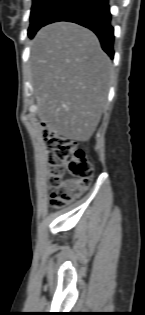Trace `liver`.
<instances>
[{
	"label": "liver",
	"instance_id": "liver-1",
	"mask_svg": "<svg viewBox=\"0 0 145 315\" xmlns=\"http://www.w3.org/2000/svg\"><path fill=\"white\" fill-rule=\"evenodd\" d=\"M112 64L97 36L80 25L58 22L36 34L31 82L40 119L50 132L87 141L107 102Z\"/></svg>",
	"mask_w": 145,
	"mask_h": 315
}]
</instances>
